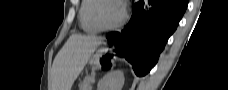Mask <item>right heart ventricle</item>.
<instances>
[{
  "label": "right heart ventricle",
  "mask_w": 228,
  "mask_h": 90,
  "mask_svg": "<svg viewBox=\"0 0 228 90\" xmlns=\"http://www.w3.org/2000/svg\"><path fill=\"white\" fill-rule=\"evenodd\" d=\"M96 0H83L79 8V21L82 29L86 33H98L101 29L95 24L93 20V8L96 5Z\"/></svg>",
  "instance_id": "obj_1"
}]
</instances>
